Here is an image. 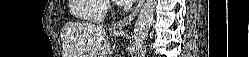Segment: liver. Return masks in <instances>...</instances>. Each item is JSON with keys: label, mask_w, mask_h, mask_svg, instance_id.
Masks as SVG:
<instances>
[{"label": "liver", "mask_w": 249, "mask_h": 57, "mask_svg": "<svg viewBox=\"0 0 249 57\" xmlns=\"http://www.w3.org/2000/svg\"><path fill=\"white\" fill-rule=\"evenodd\" d=\"M69 57H107L110 42L103 26L70 23L64 28Z\"/></svg>", "instance_id": "6515ba94"}]
</instances>
